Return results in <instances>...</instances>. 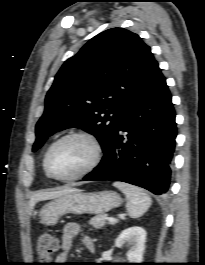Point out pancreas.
Segmentation results:
<instances>
[{"instance_id":"pancreas-1","label":"pancreas","mask_w":205,"mask_h":265,"mask_svg":"<svg viewBox=\"0 0 205 265\" xmlns=\"http://www.w3.org/2000/svg\"><path fill=\"white\" fill-rule=\"evenodd\" d=\"M107 219H108L107 214H100L91 218L89 224L96 229H100L106 224Z\"/></svg>"}]
</instances>
